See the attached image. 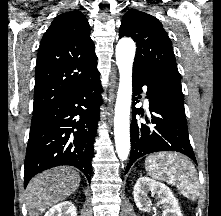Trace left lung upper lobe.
<instances>
[{
  "label": "left lung upper lobe",
  "mask_w": 221,
  "mask_h": 216,
  "mask_svg": "<svg viewBox=\"0 0 221 216\" xmlns=\"http://www.w3.org/2000/svg\"><path fill=\"white\" fill-rule=\"evenodd\" d=\"M137 43L133 68H140L165 93L170 104L185 115L180 74L172 43L160 21L139 10H129L122 19L119 38Z\"/></svg>",
  "instance_id": "5c2ea615"
}]
</instances>
